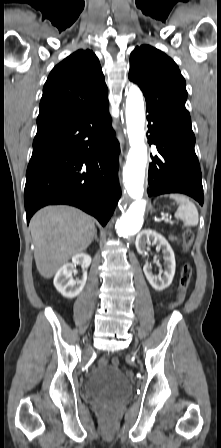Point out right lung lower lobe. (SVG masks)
Segmentation results:
<instances>
[{"mask_svg":"<svg viewBox=\"0 0 221 448\" xmlns=\"http://www.w3.org/2000/svg\"><path fill=\"white\" fill-rule=\"evenodd\" d=\"M118 153L108 100L37 132L26 172L27 223L43 206L69 204L105 226L120 197Z\"/></svg>","mask_w":221,"mask_h":448,"instance_id":"right-lung-lower-lobe-1","label":"right lung lower lobe"}]
</instances>
